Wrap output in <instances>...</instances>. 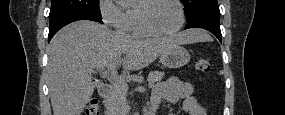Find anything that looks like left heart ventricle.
Segmentation results:
<instances>
[{"label": "left heart ventricle", "mask_w": 285, "mask_h": 115, "mask_svg": "<svg viewBox=\"0 0 285 115\" xmlns=\"http://www.w3.org/2000/svg\"><path fill=\"white\" fill-rule=\"evenodd\" d=\"M148 23L161 32L172 31L179 23L177 6L171 1L161 0L154 2L144 11Z\"/></svg>", "instance_id": "1"}]
</instances>
